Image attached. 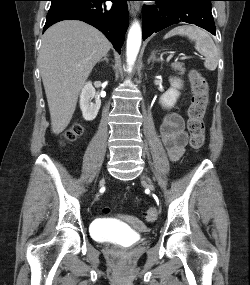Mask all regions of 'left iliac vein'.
I'll return each instance as SVG.
<instances>
[{
	"label": "left iliac vein",
	"mask_w": 250,
	"mask_h": 285,
	"mask_svg": "<svg viewBox=\"0 0 250 285\" xmlns=\"http://www.w3.org/2000/svg\"><path fill=\"white\" fill-rule=\"evenodd\" d=\"M142 179L147 182L148 187H149L151 190H154V189H155V188H154V185H153V183H152V181L150 180V178H148L147 176H142Z\"/></svg>",
	"instance_id": "4c4485c4"
}]
</instances>
